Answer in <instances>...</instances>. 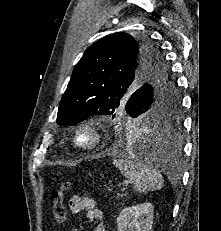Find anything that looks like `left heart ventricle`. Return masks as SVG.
Listing matches in <instances>:
<instances>
[{"instance_id":"left-heart-ventricle-1","label":"left heart ventricle","mask_w":221,"mask_h":231,"mask_svg":"<svg viewBox=\"0 0 221 231\" xmlns=\"http://www.w3.org/2000/svg\"><path fill=\"white\" fill-rule=\"evenodd\" d=\"M82 141H88L87 136L84 135V136L82 137Z\"/></svg>"}]
</instances>
